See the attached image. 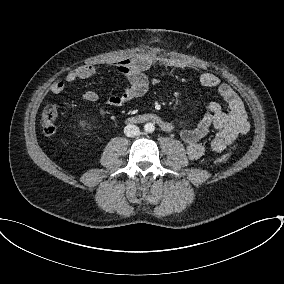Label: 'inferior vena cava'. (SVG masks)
I'll use <instances>...</instances> for the list:
<instances>
[{
	"label": "inferior vena cava",
	"mask_w": 284,
	"mask_h": 284,
	"mask_svg": "<svg viewBox=\"0 0 284 284\" xmlns=\"http://www.w3.org/2000/svg\"><path fill=\"white\" fill-rule=\"evenodd\" d=\"M124 134L127 137H135L140 134V129L136 125L129 124L124 128Z\"/></svg>",
	"instance_id": "602c4592"
}]
</instances>
